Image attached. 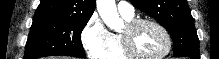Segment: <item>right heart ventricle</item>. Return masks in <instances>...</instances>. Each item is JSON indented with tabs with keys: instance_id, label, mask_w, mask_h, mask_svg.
I'll return each mask as SVG.
<instances>
[{
	"instance_id": "1",
	"label": "right heart ventricle",
	"mask_w": 219,
	"mask_h": 59,
	"mask_svg": "<svg viewBox=\"0 0 219 59\" xmlns=\"http://www.w3.org/2000/svg\"><path fill=\"white\" fill-rule=\"evenodd\" d=\"M127 22L133 20V17L122 16ZM105 59H129L123 52L119 34H112L110 49L107 52Z\"/></svg>"
}]
</instances>
